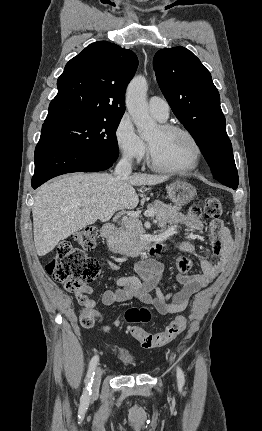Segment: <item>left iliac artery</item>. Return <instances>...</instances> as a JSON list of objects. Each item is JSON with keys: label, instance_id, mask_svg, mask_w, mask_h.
I'll use <instances>...</instances> for the list:
<instances>
[{"label": "left iliac artery", "instance_id": "1", "mask_svg": "<svg viewBox=\"0 0 262 431\" xmlns=\"http://www.w3.org/2000/svg\"><path fill=\"white\" fill-rule=\"evenodd\" d=\"M177 379H178V383L180 385L184 384V382H185L184 374H183V371L181 370V368H179V367H177Z\"/></svg>", "mask_w": 262, "mask_h": 431}]
</instances>
